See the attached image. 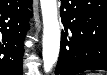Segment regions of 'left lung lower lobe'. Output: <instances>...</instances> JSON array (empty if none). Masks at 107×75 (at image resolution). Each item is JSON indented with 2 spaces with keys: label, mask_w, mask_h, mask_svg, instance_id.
I'll use <instances>...</instances> for the list:
<instances>
[{
  "label": "left lung lower lobe",
  "mask_w": 107,
  "mask_h": 75,
  "mask_svg": "<svg viewBox=\"0 0 107 75\" xmlns=\"http://www.w3.org/2000/svg\"><path fill=\"white\" fill-rule=\"evenodd\" d=\"M107 1V0H106ZM60 56L55 75H75L86 70H107V2L105 0H61ZM98 4L96 8L89 4ZM64 9V10H63ZM74 16L84 25L81 39L66 35Z\"/></svg>",
  "instance_id": "left-lung-lower-lobe-1"
}]
</instances>
